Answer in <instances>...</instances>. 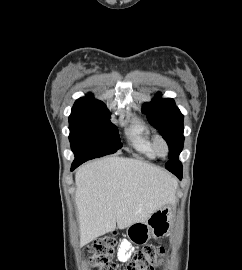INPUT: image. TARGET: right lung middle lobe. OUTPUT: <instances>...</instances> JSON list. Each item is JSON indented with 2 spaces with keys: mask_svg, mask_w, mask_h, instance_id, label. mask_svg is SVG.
I'll return each instance as SVG.
<instances>
[{
  "mask_svg": "<svg viewBox=\"0 0 242 270\" xmlns=\"http://www.w3.org/2000/svg\"><path fill=\"white\" fill-rule=\"evenodd\" d=\"M71 149L75 154L73 163L115 153L121 148L117 127L110 122L108 110L69 116Z\"/></svg>",
  "mask_w": 242,
  "mask_h": 270,
  "instance_id": "right-lung-middle-lobe-1",
  "label": "right lung middle lobe"
}]
</instances>
